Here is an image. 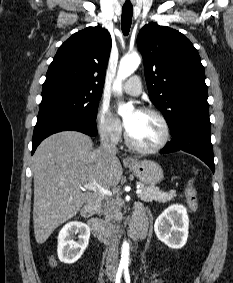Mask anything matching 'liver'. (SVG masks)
<instances>
[{
    "mask_svg": "<svg viewBox=\"0 0 233 283\" xmlns=\"http://www.w3.org/2000/svg\"><path fill=\"white\" fill-rule=\"evenodd\" d=\"M33 224L35 239L43 244L62 223L73 218L91 194L82 186L96 182L109 189L121 180L116 155L93 149L91 138L62 131L46 138L33 156Z\"/></svg>",
    "mask_w": 233,
    "mask_h": 283,
    "instance_id": "obj_1",
    "label": "liver"
}]
</instances>
